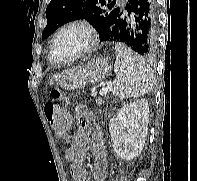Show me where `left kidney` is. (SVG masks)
<instances>
[{"label": "left kidney", "mask_w": 197, "mask_h": 181, "mask_svg": "<svg viewBox=\"0 0 197 181\" xmlns=\"http://www.w3.org/2000/svg\"><path fill=\"white\" fill-rule=\"evenodd\" d=\"M148 113V101L139 99L125 104L117 116L110 119L112 145L121 159L128 161L141 154L148 131Z\"/></svg>", "instance_id": "obj_1"}]
</instances>
